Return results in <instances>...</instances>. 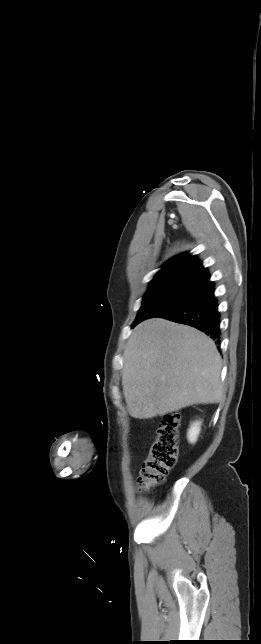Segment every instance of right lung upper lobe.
<instances>
[{"instance_id": "obj_1", "label": "right lung upper lobe", "mask_w": 261, "mask_h": 644, "mask_svg": "<svg viewBox=\"0 0 261 644\" xmlns=\"http://www.w3.org/2000/svg\"><path fill=\"white\" fill-rule=\"evenodd\" d=\"M209 278L210 275L207 269L201 266V262L196 256L182 253L168 260L151 283L167 280H184L202 285Z\"/></svg>"}]
</instances>
